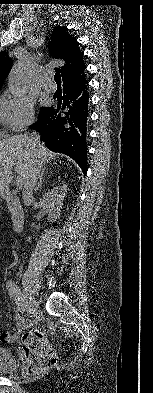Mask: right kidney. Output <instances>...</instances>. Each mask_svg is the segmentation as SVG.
Wrapping results in <instances>:
<instances>
[{"label": "right kidney", "instance_id": "1", "mask_svg": "<svg viewBox=\"0 0 153 393\" xmlns=\"http://www.w3.org/2000/svg\"><path fill=\"white\" fill-rule=\"evenodd\" d=\"M60 195H58V191L53 190L49 194L44 197L42 201V205L44 208H47V210H53L54 206L59 204L61 201Z\"/></svg>", "mask_w": 153, "mask_h": 393}]
</instances>
